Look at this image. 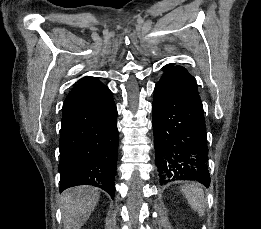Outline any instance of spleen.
<instances>
[{"label": "spleen", "mask_w": 261, "mask_h": 229, "mask_svg": "<svg viewBox=\"0 0 261 229\" xmlns=\"http://www.w3.org/2000/svg\"><path fill=\"white\" fill-rule=\"evenodd\" d=\"M181 193L185 195L193 211H197L199 217H204L206 205L203 189H201L200 185H198V183L183 185V187H181Z\"/></svg>", "instance_id": "1"}]
</instances>
